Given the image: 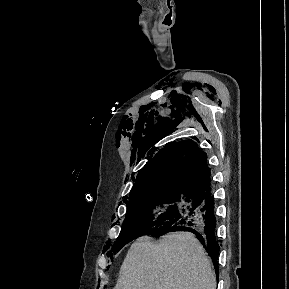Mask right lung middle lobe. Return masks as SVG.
<instances>
[{
    "label": "right lung middle lobe",
    "mask_w": 289,
    "mask_h": 289,
    "mask_svg": "<svg viewBox=\"0 0 289 289\" xmlns=\"http://www.w3.org/2000/svg\"><path fill=\"white\" fill-rule=\"evenodd\" d=\"M198 202V196L184 193H163L130 199L122 230L110 252L119 251L138 236L169 229L189 215Z\"/></svg>",
    "instance_id": "obj_1"
}]
</instances>
